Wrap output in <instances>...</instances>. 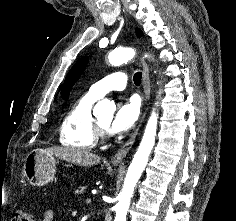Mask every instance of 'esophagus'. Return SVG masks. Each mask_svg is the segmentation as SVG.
Instances as JSON below:
<instances>
[{
  "label": "esophagus",
  "instance_id": "obj_1",
  "mask_svg": "<svg viewBox=\"0 0 236 221\" xmlns=\"http://www.w3.org/2000/svg\"><path fill=\"white\" fill-rule=\"evenodd\" d=\"M141 64H142V69H143V76H142L143 92H144L145 102H146V105H147V102H148L149 97H150L151 84H150V77H149V68H148V65H147V63H146L143 56H141ZM146 111H147V106L145 107V109H144V111L141 115L138 127L131 134L128 141L112 157V162L113 163L122 162L123 159L125 158V156L127 155V153L129 152V150L131 149V147L134 144L135 139L137 137L139 127H140L141 123L143 122V120L145 118Z\"/></svg>",
  "mask_w": 236,
  "mask_h": 221
}]
</instances>
